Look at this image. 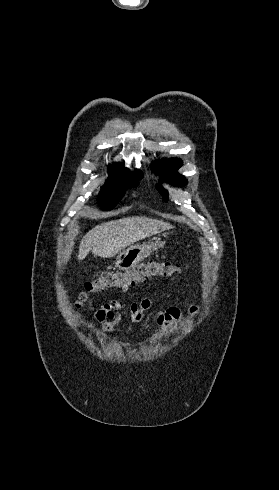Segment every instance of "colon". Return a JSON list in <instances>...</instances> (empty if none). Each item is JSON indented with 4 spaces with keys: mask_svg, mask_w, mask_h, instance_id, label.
Instances as JSON below:
<instances>
[{
    "mask_svg": "<svg viewBox=\"0 0 279 490\" xmlns=\"http://www.w3.org/2000/svg\"><path fill=\"white\" fill-rule=\"evenodd\" d=\"M181 265L169 261L149 260L138 264L132 270H110L101 276L89 281L85 291L77 299L79 305L89 303L90 296L102 293L108 289H128L139 285L153 277H170L179 273ZM64 289H69V283H65Z\"/></svg>",
    "mask_w": 279,
    "mask_h": 490,
    "instance_id": "colon-1",
    "label": "colon"
}]
</instances>
